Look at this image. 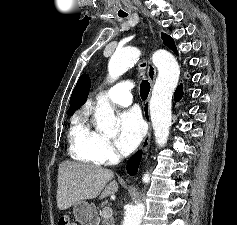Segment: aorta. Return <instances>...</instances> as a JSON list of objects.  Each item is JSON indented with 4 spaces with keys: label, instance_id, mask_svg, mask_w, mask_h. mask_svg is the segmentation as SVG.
Instances as JSON below:
<instances>
[{
    "label": "aorta",
    "instance_id": "obj_1",
    "mask_svg": "<svg viewBox=\"0 0 237 225\" xmlns=\"http://www.w3.org/2000/svg\"><path fill=\"white\" fill-rule=\"evenodd\" d=\"M140 56V50L127 47L117 50L108 63L109 77L113 80L124 74ZM152 61L158 69V76L150 99V116L156 144L164 146L169 136L172 120V96L177 87L180 68L175 57L165 50L153 54ZM94 118L96 127L105 134H115L116 117L111 105L105 101L97 106ZM150 175L144 174L142 181L149 182ZM144 215L143 204L130 205L125 210L122 225H140Z\"/></svg>",
    "mask_w": 237,
    "mask_h": 225
}]
</instances>
